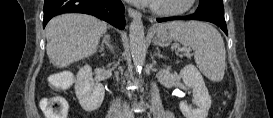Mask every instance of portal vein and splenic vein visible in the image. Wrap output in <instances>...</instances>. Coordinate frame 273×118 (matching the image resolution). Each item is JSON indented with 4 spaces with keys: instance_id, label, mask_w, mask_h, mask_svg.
Instances as JSON below:
<instances>
[{
    "instance_id": "1",
    "label": "portal vein and splenic vein",
    "mask_w": 273,
    "mask_h": 118,
    "mask_svg": "<svg viewBox=\"0 0 273 118\" xmlns=\"http://www.w3.org/2000/svg\"><path fill=\"white\" fill-rule=\"evenodd\" d=\"M182 50H185L186 52H189V49H182Z\"/></svg>"
}]
</instances>
